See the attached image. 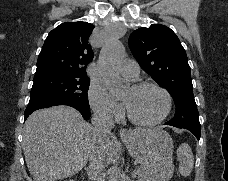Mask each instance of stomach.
I'll use <instances>...</instances> for the list:
<instances>
[{"mask_svg":"<svg viewBox=\"0 0 228 181\" xmlns=\"http://www.w3.org/2000/svg\"><path fill=\"white\" fill-rule=\"evenodd\" d=\"M121 139L131 157L146 169L144 181H170L174 173L173 141L162 129H135Z\"/></svg>","mask_w":228,"mask_h":181,"instance_id":"0dacf381","label":"stomach"}]
</instances>
